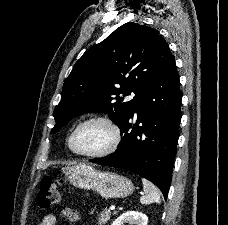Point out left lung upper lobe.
Instances as JSON below:
<instances>
[{
    "mask_svg": "<svg viewBox=\"0 0 228 225\" xmlns=\"http://www.w3.org/2000/svg\"><path fill=\"white\" fill-rule=\"evenodd\" d=\"M171 57L168 44L157 30L134 22L123 24L89 48L74 65L55 107L56 125L51 133L71 118L90 111L108 113L120 126ZM132 92L136 96L130 101L123 102L119 97Z\"/></svg>",
    "mask_w": 228,
    "mask_h": 225,
    "instance_id": "1",
    "label": "left lung upper lobe"
}]
</instances>
